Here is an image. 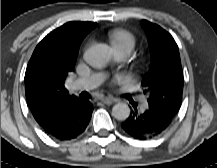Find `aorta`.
<instances>
[{"mask_svg": "<svg viewBox=\"0 0 217 168\" xmlns=\"http://www.w3.org/2000/svg\"><path fill=\"white\" fill-rule=\"evenodd\" d=\"M84 59L92 67H104L109 61L107 47L103 44H96L89 47L84 53ZM129 115L130 108L125 103L115 104L112 108V116L117 120H126Z\"/></svg>", "mask_w": 217, "mask_h": 168, "instance_id": "762f6f07", "label": "aorta"}]
</instances>
